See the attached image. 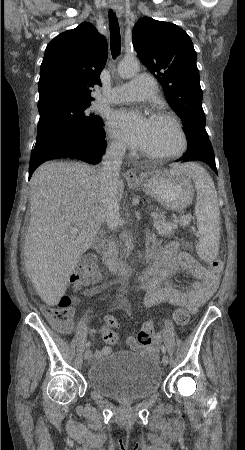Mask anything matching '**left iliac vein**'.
Returning a JSON list of instances; mask_svg holds the SVG:
<instances>
[{
	"label": "left iliac vein",
	"mask_w": 245,
	"mask_h": 450,
	"mask_svg": "<svg viewBox=\"0 0 245 450\" xmlns=\"http://www.w3.org/2000/svg\"><path fill=\"white\" fill-rule=\"evenodd\" d=\"M162 363L164 364V365H168V363H169V358H168V356L167 355H163V357H162Z\"/></svg>",
	"instance_id": "1"
}]
</instances>
